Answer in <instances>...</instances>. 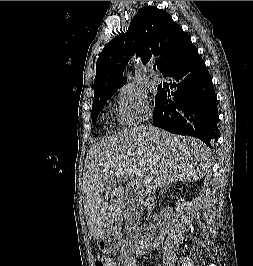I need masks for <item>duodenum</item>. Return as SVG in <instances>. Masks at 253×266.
<instances>
[{
    "label": "duodenum",
    "instance_id": "obj_1",
    "mask_svg": "<svg viewBox=\"0 0 253 266\" xmlns=\"http://www.w3.org/2000/svg\"><path fill=\"white\" fill-rule=\"evenodd\" d=\"M105 239H106L108 242H112V241H113V235H112V234H108V235L105 237ZM122 262H123V266H129V263L132 262V261L130 260L129 257H124V258L122 259Z\"/></svg>",
    "mask_w": 253,
    "mask_h": 266
}]
</instances>
